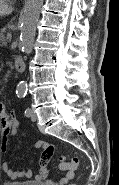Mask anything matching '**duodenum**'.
I'll use <instances>...</instances> for the list:
<instances>
[{
    "instance_id": "1",
    "label": "duodenum",
    "mask_w": 119,
    "mask_h": 185,
    "mask_svg": "<svg viewBox=\"0 0 119 185\" xmlns=\"http://www.w3.org/2000/svg\"><path fill=\"white\" fill-rule=\"evenodd\" d=\"M14 66H15V69L18 71V72H23L25 70V61L22 57H15L14 59Z\"/></svg>"
}]
</instances>
